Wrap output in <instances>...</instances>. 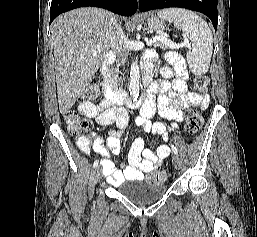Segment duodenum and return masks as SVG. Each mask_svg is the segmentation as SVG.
Segmentation results:
<instances>
[{"label":"duodenum","mask_w":257,"mask_h":237,"mask_svg":"<svg viewBox=\"0 0 257 237\" xmlns=\"http://www.w3.org/2000/svg\"><path fill=\"white\" fill-rule=\"evenodd\" d=\"M115 61H116V54L113 52H110L107 54L101 67L104 96L107 100L113 103L127 102L130 106L137 105L139 102H141L144 96L142 95L138 101L127 99L124 91L113 80L110 72V67L115 63ZM142 72H143L144 86L148 87L151 82L150 71L145 65H143Z\"/></svg>","instance_id":"obj_1"}]
</instances>
